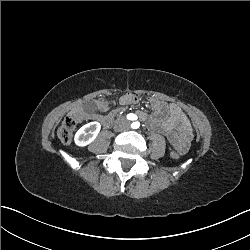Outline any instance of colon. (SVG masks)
Instances as JSON below:
<instances>
[{
  "mask_svg": "<svg viewBox=\"0 0 250 250\" xmlns=\"http://www.w3.org/2000/svg\"><path fill=\"white\" fill-rule=\"evenodd\" d=\"M128 98H133L132 102L133 103H140L141 99L138 98V93H128ZM159 105H164V100H159ZM77 128V121L73 116H67L65 117L62 122L60 123V125L57 128V138L58 140L62 143V144H69L72 139H73V135L74 132ZM181 153L178 152V150H174L171 152L170 154V159L171 160H177L181 157Z\"/></svg>",
  "mask_w": 250,
  "mask_h": 250,
  "instance_id": "5ec220e1",
  "label": "colon"
}]
</instances>
